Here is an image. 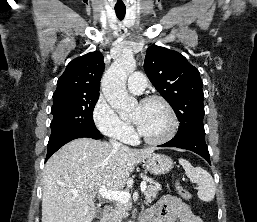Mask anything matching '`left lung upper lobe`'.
Returning <instances> with one entry per match:
<instances>
[{
  "label": "left lung upper lobe",
  "instance_id": "obj_1",
  "mask_svg": "<svg viewBox=\"0 0 257 222\" xmlns=\"http://www.w3.org/2000/svg\"><path fill=\"white\" fill-rule=\"evenodd\" d=\"M144 70L180 121L175 137L204 134V94L197 68L180 53L152 45L147 49Z\"/></svg>",
  "mask_w": 257,
  "mask_h": 222
}]
</instances>
